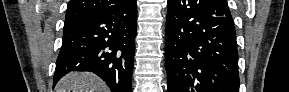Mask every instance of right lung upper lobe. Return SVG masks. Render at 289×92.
Wrapping results in <instances>:
<instances>
[{"instance_id": "obj_1", "label": "right lung upper lobe", "mask_w": 289, "mask_h": 92, "mask_svg": "<svg viewBox=\"0 0 289 92\" xmlns=\"http://www.w3.org/2000/svg\"><path fill=\"white\" fill-rule=\"evenodd\" d=\"M130 1L131 0H71L67 7L64 26L90 15L119 8Z\"/></svg>"}]
</instances>
